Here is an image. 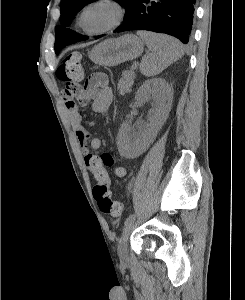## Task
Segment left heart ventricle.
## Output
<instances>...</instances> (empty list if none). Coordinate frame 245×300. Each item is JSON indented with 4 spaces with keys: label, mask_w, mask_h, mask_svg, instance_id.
Listing matches in <instances>:
<instances>
[{
    "label": "left heart ventricle",
    "mask_w": 245,
    "mask_h": 300,
    "mask_svg": "<svg viewBox=\"0 0 245 300\" xmlns=\"http://www.w3.org/2000/svg\"><path fill=\"white\" fill-rule=\"evenodd\" d=\"M115 17L114 11L106 6H97L88 10L84 17V25L91 30L109 25Z\"/></svg>",
    "instance_id": "1"
}]
</instances>
